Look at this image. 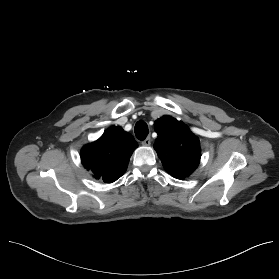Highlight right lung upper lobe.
<instances>
[{
	"mask_svg": "<svg viewBox=\"0 0 279 279\" xmlns=\"http://www.w3.org/2000/svg\"><path fill=\"white\" fill-rule=\"evenodd\" d=\"M137 146L131 134L121 127L112 126L97 141L82 148L81 161L95 178L112 183L125 173Z\"/></svg>",
	"mask_w": 279,
	"mask_h": 279,
	"instance_id": "cb5924a9",
	"label": "right lung upper lobe"
}]
</instances>
